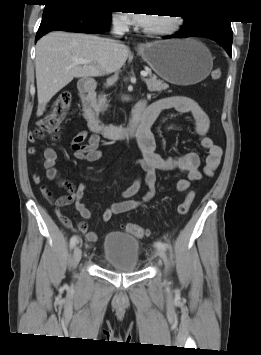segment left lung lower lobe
<instances>
[{"label": "left lung lower lobe", "instance_id": "1", "mask_svg": "<svg viewBox=\"0 0 261 355\" xmlns=\"http://www.w3.org/2000/svg\"><path fill=\"white\" fill-rule=\"evenodd\" d=\"M181 37H204L211 39L219 43L227 53L232 56L233 33L230 21L206 19L197 28H186L183 26L177 34L163 38L170 39Z\"/></svg>", "mask_w": 261, "mask_h": 355}]
</instances>
